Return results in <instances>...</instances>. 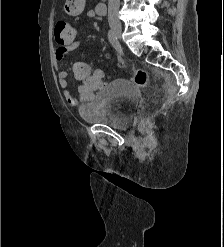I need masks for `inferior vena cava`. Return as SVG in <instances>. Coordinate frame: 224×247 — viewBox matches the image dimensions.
<instances>
[{
  "mask_svg": "<svg viewBox=\"0 0 224 247\" xmlns=\"http://www.w3.org/2000/svg\"><path fill=\"white\" fill-rule=\"evenodd\" d=\"M119 6L120 0H109L108 4V22L109 24H120L119 22Z\"/></svg>",
  "mask_w": 224,
  "mask_h": 247,
  "instance_id": "1",
  "label": "inferior vena cava"
}]
</instances>
